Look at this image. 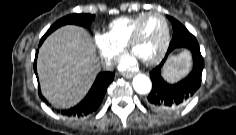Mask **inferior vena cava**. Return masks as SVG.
<instances>
[{"label":"inferior vena cava","instance_id":"inferior-vena-cava-1","mask_svg":"<svg viewBox=\"0 0 236 135\" xmlns=\"http://www.w3.org/2000/svg\"><path fill=\"white\" fill-rule=\"evenodd\" d=\"M112 66V62L111 61H105L104 62V68L105 69H110Z\"/></svg>","mask_w":236,"mask_h":135}]
</instances>
